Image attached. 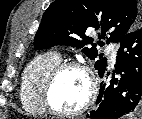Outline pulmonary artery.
I'll return each mask as SVG.
<instances>
[{
  "label": "pulmonary artery",
  "mask_w": 142,
  "mask_h": 119,
  "mask_svg": "<svg viewBox=\"0 0 142 119\" xmlns=\"http://www.w3.org/2000/svg\"><path fill=\"white\" fill-rule=\"evenodd\" d=\"M108 52L110 54V60L115 63L117 57V49L114 46H108Z\"/></svg>",
  "instance_id": "e3ab8cb5"
}]
</instances>
